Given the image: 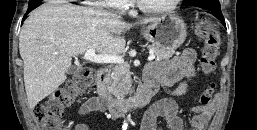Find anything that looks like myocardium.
I'll return each mask as SVG.
<instances>
[{"label":"myocardium","mask_w":257,"mask_h":130,"mask_svg":"<svg viewBox=\"0 0 257 130\" xmlns=\"http://www.w3.org/2000/svg\"><path fill=\"white\" fill-rule=\"evenodd\" d=\"M181 0H172L169 4L159 8H151L142 3L141 0H135V4L139 10L147 14H163L175 9Z\"/></svg>","instance_id":"obj_1"}]
</instances>
